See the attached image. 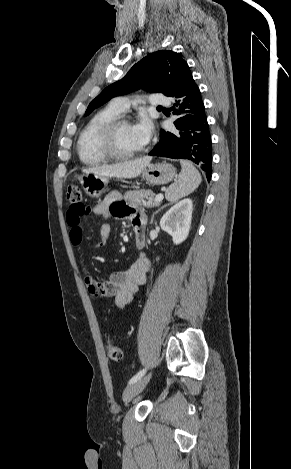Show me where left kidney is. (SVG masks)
<instances>
[{
	"label": "left kidney",
	"instance_id": "5707ae66",
	"mask_svg": "<svg viewBox=\"0 0 291 469\" xmlns=\"http://www.w3.org/2000/svg\"><path fill=\"white\" fill-rule=\"evenodd\" d=\"M192 211V200L186 198L176 203L162 216L160 226L162 230L172 236L174 244L178 245L188 237Z\"/></svg>",
	"mask_w": 291,
	"mask_h": 469
}]
</instances>
